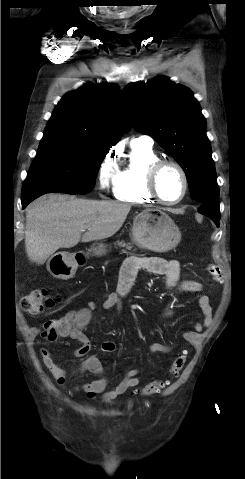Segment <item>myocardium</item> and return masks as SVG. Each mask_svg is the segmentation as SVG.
I'll return each instance as SVG.
<instances>
[{
  "label": "myocardium",
  "instance_id": "myocardium-1",
  "mask_svg": "<svg viewBox=\"0 0 245 479\" xmlns=\"http://www.w3.org/2000/svg\"><path fill=\"white\" fill-rule=\"evenodd\" d=\"M166 167H173L175 168L178 173L180 174V177L182 179L183 183V191L181 196L175 200V201H167L165 200L158 189V180L161 172L166 168ZM189 189V180L187 173L183 166L173 160V159H158L155 161L149 168L148 173H147V190L148 192L160 203L165 204V205H176L184 200L188 193Z\"/></svg>",
  "mask_w": 245,
  "mask_h": 479
}]
</instances>
